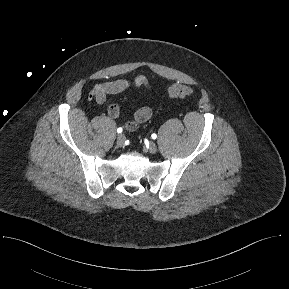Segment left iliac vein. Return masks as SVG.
<instances>
[{
    "label": "left iliac vein",
    "instance_id": "4c4485c4",
    "mask_svg": "<svg viewBox=\"0 0 289 289\" xmlns=\"http://www.w3.org/2000/svg\"><path fill=\"white\" fill-rule=\"evenodd\" d=\"M148 151L150 152V153H152V154H154V153H156V151H157V146H156V144L154 143V142H150L149 144H148Z\"/></svg>",
    "mask_w": 289,
    "mask_h": 289
}]
</instances>
